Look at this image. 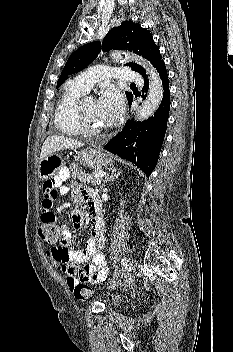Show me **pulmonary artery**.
<instances>
[{"instance_id": "pulmonary-artery-1", "label": "pulmonary artery", "mask_w": 233, "mask_h": 352, "mask_svg": "<svg viewBox=\"0 0 233 352\" xmlns=\"http://www.w3.org/2000/svg\"><path fill=\"white\" fill-rule=\"evenodd\" d=\"M112 78L134 83H141L143 81L141 75L130 68H117L102 65L81 72L73 81L78 86L88 91L96 82Z\"/></svg>"}]
</instances>
